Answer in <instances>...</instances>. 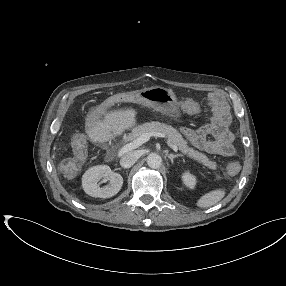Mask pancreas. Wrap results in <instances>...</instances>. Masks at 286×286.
Here are the masks:
<instances>
[{
  "instance_id": "cf45deb5",
  "label": "pancreas",
  "mask_w": 286,
  "mask_h": 286,
  "mask_svg": "<svg viewBox=\"0 0 286 286\" xmlns=\"http://www.w3.org/2000/svg\"><path fill=\"white\" fill-rule=\"evenodd\" d=\"M146 132H160L167 136L170 142L177 146V148L185 155L190 157L193 160H196L199 163H202L204 166L210 169H216L215 162L208 159L205 154L194 150L193 148L188 147L187 141L184 140L183 136L172 126L160 123L157 121H152L145 123L139 127H136L132 130V133L129 135L130 140L137 139L140 135Z\"/></svg>"
}]
</instances>
